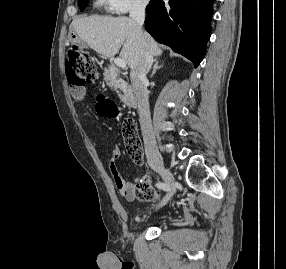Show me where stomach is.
Here are the masks:
<instances>
[{"instance_id":"stomach-1","label":"stomach","mask_w":286,"mask_h":269,"mask_svg":"<svg viewBox=\"0 0 286 269\" xmlns=\"http://www.w3.org/2000/svg\"><path fill=\"white\" fill-rule=\"evenodd\" d=\"M69 40L71 43L78 44V45H81L83 43V40L78 35H75V34L70 35Z\"/></svg>"}]
</instances>
